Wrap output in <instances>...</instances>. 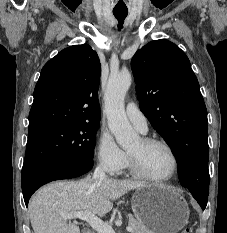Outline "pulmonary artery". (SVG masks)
Wrapping results in <instances>:
<instances>
[{
  "label": "pulmonary artery",
  "mask_w": 227,
  "mask_h": 233,
  "mask_svg": "<svg viewBox=\"0 0 227 233\" xmlns=\"http://www.w3.org/2000/svg\"><path fill=\"white\" fill-rule=\"evenodd\" d=\"M126 115L138 131L141 133H146L148 131L147 118L134 102H129L126 105Z\"/></svg>",
  "instance_id": "e3ab8cb5"
}]
</instances>
